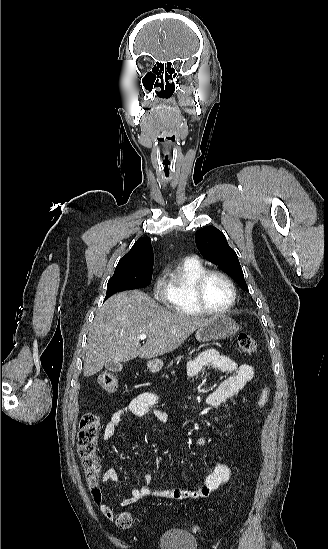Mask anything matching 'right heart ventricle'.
Masks as SVG:
<instances>
[{"mask_svg":"<svg viewBox=\"0 0 328 549\" xmlns=\"http://www.w3.org/2000/svg\"><path fill=\"white\" fill-rule=\"evenodd\" d=\"M208 267L199 256H188L179 263L168 279L158 297V303H172V310H180V319H204L192 309L193 284L198 275Z\"/></svg>","mask_w":328,"mask_h":549,"instance_id":"e07e8e85","label":"right heart ventricle"}]
</instances>
